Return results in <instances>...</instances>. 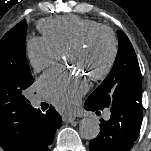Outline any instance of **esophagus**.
I'll return each mask as SVG.
<instances>
[{"mask_svg":"<svg viewBox=\"0 0 151 151\" xmlns=\"http://www.w3.org/2000/svg\"><path fill=\"white\" fill-rule=\"evenodd\" d=\"M77 117H78V116H76V115H71V114H64V115H62L63 121H64V122H67V123H70V122L76 120Z\"/></svg>","mask_w":151,"mask_h":151,"instance_id":"1","label":"esophagus"}]
</instances>
